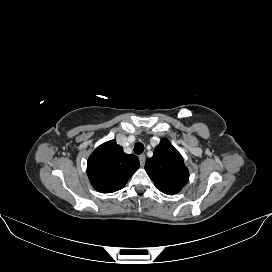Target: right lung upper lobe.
I'll return each instance as SVG.
<instances>
[{
    "label": "right lung upper lobe",
    "mask_w": 272,
    "mask_h": 272,
    "mask_svg": "<svg viewBox=\"0 0 272 272\" xmlns=\"http://www.w3.org/2000/svg\"><path fill=\"white\" fill-rule=\"evenodd\" d=\"M139 159L126 154L115 140L95 149L87 162V175L92 186L101 193L120 190L139 168Z\"/></svg>",
    "instance_id": "cb5924a9"
}]
</instances>
